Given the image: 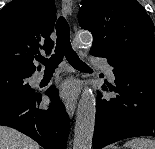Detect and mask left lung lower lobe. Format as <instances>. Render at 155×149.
<instances>
[{
    "label": "left lung lower lobe",
    "mask_w": 155,
    "mask_h": 149,
    "mask_svg": "<svg viewBox=\"0 0 155 149\" xmlns=\"http://www.w3.org/2000/svg\"><path fill=\"white\" fill-rule=\"evenodd\" d=\"M91 54L108 59L117 85L109 90L119 93L97 97L93 149L130 137L155 136V54Z\"/></svg>",
    "instance_id": "left-lung-lower-lobe-1"
}]
</instances>
